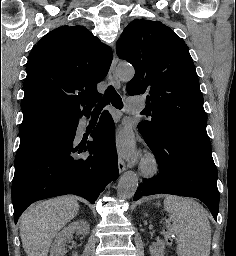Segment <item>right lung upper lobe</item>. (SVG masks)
Here are the masks:
<instances>
[{"instance_id":"1","label":"right lung upper lobe","mask_w":236,"mask_h":256,"mask_svg":"<svg viewBox=\"0 0 236 256\" xmlns=\"http://www.w3.org/2000/svg\"><path fill=\"white\" fill-rule=\"evenodd\" d=\"M112 50L83 26H61L32 49L26 65L23 120L42 114L77 119L101 98Z\"/></svg>"}]
</instances>
